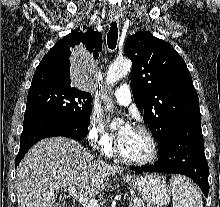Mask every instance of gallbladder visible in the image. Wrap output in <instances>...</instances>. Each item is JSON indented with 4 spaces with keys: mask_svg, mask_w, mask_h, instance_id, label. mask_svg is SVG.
Returning a JSON list of instances; mask_svg holds the SVG:
<instances>
[{
    "mask_svg": "<svg viewBox=\"0 0 220 207\" xmlns=\"http://www.w3.org/2000/svg\"><path fill=\"white\" fill-rule=\"evenodd\" d=\"M63 205H64V202L62 201V202L56 203L53 207H63Z\"/></svg>",
    "mask_w": 220,
    "mask_h": 207,
    "instance_id": "bac80fb5",
    "label": "gallbladder"
}]
</instances>
